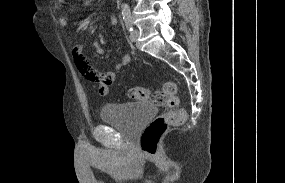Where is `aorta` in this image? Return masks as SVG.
I'll return each mask as SVG.
<instances>
[{"instance_id": "762f6f07", "label": "aorta", "mask_w": 285, "mask_h": 183, "mask_svg": "<svg viewBox=\"0 0 285 183\" xmlns=\"http://www.w3.org/2000/svg\"><path fill=\"white\" fill-rule=\"evenodd\" d=\"M122 7H126V5H125V4H123V5H122Z\"/></svg>"}]
</instances>
